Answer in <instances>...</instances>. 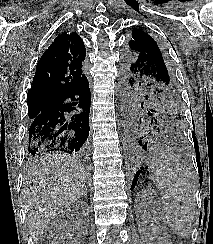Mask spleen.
Masks as SVG:
<instances>
[{
	"mask_svg": "<svg viewBox=\"0 0 213 244\" xmlns=\"http://www.w3.org/2000/svg\"><path fill=\"white\" fill-rule=\"evenodd\" d=\"M150 169L160 192L168 227L177 236L187 237L196 211V188L191 173L178 157L169 153L153 157Z\"/></svg>",
	"mask_w": 213,
	"mask_h": 244,
	"instance_id": "obj_1",
	"label": "spleen"
}]
</instances>
